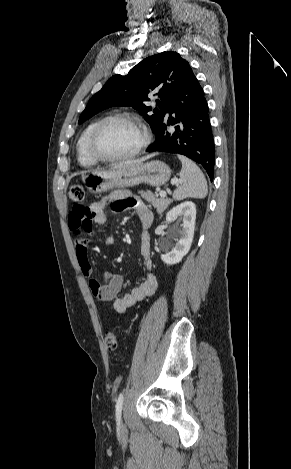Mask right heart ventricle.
Masks as SVG:
<instances>
[{
	"label": "right heart ventricle",
	"mask_w": 291,
	"mask_h": 469,
	"mask_svg": "<svg viewBox=\"0 0 291 469\" xmlns=\"http://www.w3.org/2000/svg\"><path fill=\"white\" fill-rule=\"evenodd\" d=\"M102 119H96L89 123L85 129L82 131L81 135L79 136L77 143H76V153L77 159L79 164L82 167L90 168L96 166L98 161L94 159L88 150V140L89 136L94 129V127L101 121Z\"/></svg>",
	"instance_id": "1"
}]
</instances>
